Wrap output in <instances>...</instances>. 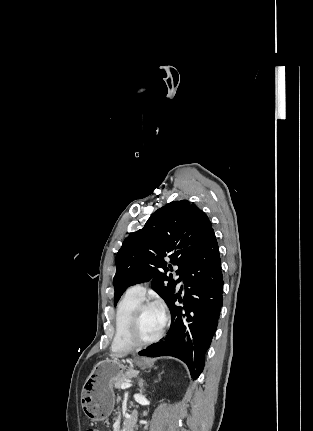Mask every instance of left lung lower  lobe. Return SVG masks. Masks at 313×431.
Wrapping results in <instances>:
<instances>
[{"label": "left lung lower lobe", "instance_id": "0a47b994", "mask_svg": "<svg viewBox=\"0 0 313 431\" xmlns=\"http://www.w3.org/2000/svg\"><path fill=\"white\" fill-rule=\"evenodd\" d=\"M181 279L185 286L183 298L174 294L167 304L171 312L168 335L164 341L140 351L139 355L179 358L187 364L191 377L197 379L204 368L205 353L216 332L223 305L224 282L213 228ZM177 299L183 307L174 304Z\"/></svg>", "mask_w": 313, "mask_h": 431}]
</instances>
